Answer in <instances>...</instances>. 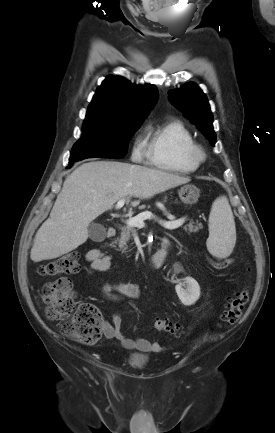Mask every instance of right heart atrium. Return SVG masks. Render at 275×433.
<instances>
[{
	"mask_svg": "<svg viewBox=\"0 0 275 433\" xmlns=\"http://www.w3.org/2000/svg\"><path fill=\"white\" fill-rule=\"evenodd\" d=\"M145 154V146L143 142L138 138L136 139L133 150H132V159L134 161H140Z\"/></svg>",
	"mask_w": 275,
	"mask_h": 433,
	"instance_id": "obj_1",
	"label": "right heart atrium"
}]
</instances>
